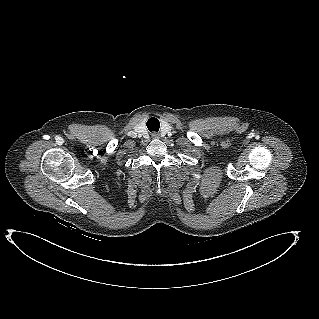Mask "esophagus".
Listing matches in <instances>:
<instances>
[{"instance_id": "obj_1", "label": "esophagus", "mask_w": 319, "mask_h": 319, "mask_svg": "<svg viewBox=\"0 0 319 319\" xmlns=\"http://www.w3.org/2000/svg\"><path fill=\"white\" fill-rule=\"evenodd\" d=\"M151 136H152V138H154V139L159 138V134L156 133V132H153V133L151 134Z\"/></svg>"}]
</instances>
